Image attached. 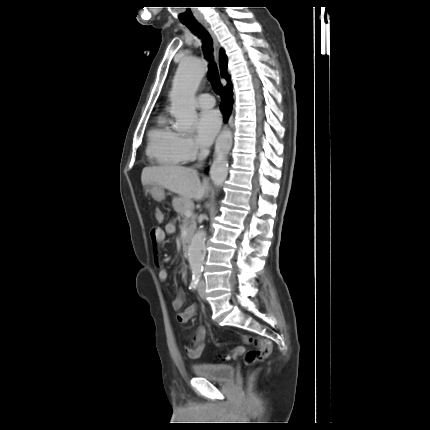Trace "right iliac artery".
Masks as SVG:
<instances>
[{
  "instance_id": "obj_1",
  "label": "right iliac artery",
  "mask_w": 430,
  "mask_h": 430,
  "mask_svg": "<svg viewBox=\"0 0 430 430\" xmlns=\"http://www.w3.org/2000/svg\"><path fill=\"white\" fill-rule=\"evenodd\" d=\"M200 276H201L200 272H196L193 274L189 289H196L197 288Z\"/></svg>"
}]
</instances>
